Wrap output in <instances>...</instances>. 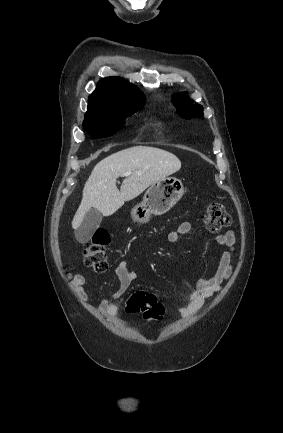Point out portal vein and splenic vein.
<instances>
[{
    "label": "portal vein and splenic vein",
    "mask_w": 283,
    "mask_h": 433,
    "mask_svg": "<svg viewBox=\"0 0 283 433\" xmlns=\"http://www.w3.org/2000/svg\"><path fill=\"white\" fill-rule=\"evenodd\" d=\"M128 174H132L131 170L130 172H125V174H122V176H128Z\"/></svg>",
    "instance_id": "18ae733b"
}]
</instances>
